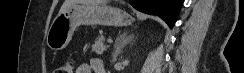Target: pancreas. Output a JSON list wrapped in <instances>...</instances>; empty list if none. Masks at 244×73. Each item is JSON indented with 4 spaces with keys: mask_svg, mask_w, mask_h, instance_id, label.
I'll use <instances>...</instances> for the list:
<instances>
[{
    "mask_svg": "<svg viewBox=\"0 0 244 73\" xmlns=\"http://www.w3.org/2000/svg\"><path fill=\"white\" fill-rule=\"evenodd\" d=\"M105 38L103 36H99L95 43L92 45V52L97 55H102L106 50L107 46L104 44Z\"/></svg>",
    "mask_w": 244,
    "mask_h": 73,
    "instance_id": "1",
    "label": "pancreas"
}]
</instances>
